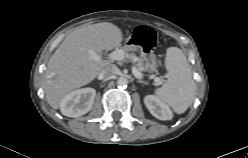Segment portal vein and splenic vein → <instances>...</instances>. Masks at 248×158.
I'll use <instances>...</instances> for the list:
<instances>
[{
	"instance_id": "obj_1",
	"label": "portal vein and splenic vein",
	"mask_w": 248,
	"mask_h": 158,
	"mask_svg": "<svg viewBox=\"0 0 248 158\" xmlns=\"http://www.w3.org/2000/svg\"><path fill=\"white\" fill-rule=\"evenodd\" d=\"M88 52H89L90 57L92 59L97 60V61L101 59V57L96 52H94L93 50H89ZM124 57H125V52H124V50H121V49L114 50L113 52H111L108 55V58L110 60H119L120 61V60H123ZM132 73H133V75L136 78H141L142 77V73L136 67H134V66H132ZM155 82L157 84H161L162 83V81H161V79L159 77H156L155 78Z\"/></svg>"
}]
</instances>
